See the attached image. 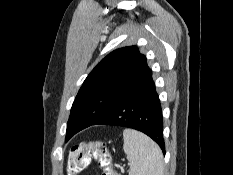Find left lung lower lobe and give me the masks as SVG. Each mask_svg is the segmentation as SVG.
<instances>
[{
	"instance_id": "1",
	"label": "left lung lower lobe",
	"mask_w": 233,
	"mask_h": 175,
	"mask_svg": "<svg viewBox=\"0 0 233 175\" xmlns=\"http://www.w3.org/2000/svg\"><path fill=\"white\" fill-rule=\"evenodd\" d=\"M96 124L139 130L151 137L165 153L161 104L149 68L92 125Z\"/></svg>"
}]
</instances>
